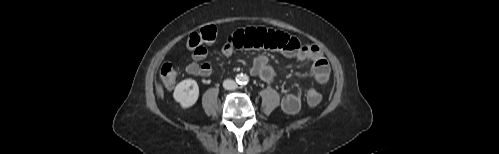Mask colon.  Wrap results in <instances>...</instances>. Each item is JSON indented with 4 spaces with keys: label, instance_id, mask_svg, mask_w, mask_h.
<instances>
[{
    "label": "colon",
    "instance_id": "5ec220e1",
    "mask_svg": "<svg viewBox=\"0 0 499 154\" xmlns=\"http://www.w3.org/2000/svg\"><path fill=\"white\" fill-rule=\"evenodd\" d=\"M217 29L214 26H206L199 32L189 35L186 40V46L189 49L195 50L202 46L204 42L212 41L215 39ZM177 71L171 63H165L159 73V81L167 88H172L176 82ZM306 100L310 106H317L321 100V94L315 88H309L306 92Z\"/></svg>",
    "mask_w": 499,
    "mask_h": 154
}]
</instances>
